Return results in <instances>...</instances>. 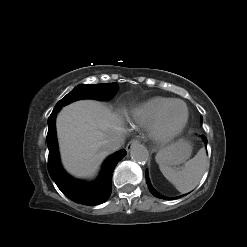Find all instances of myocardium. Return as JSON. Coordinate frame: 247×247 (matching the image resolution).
Masks as SVG:
<instances>
[{
  "mask_svg": "<svg viewBox=\"0 0 247 247\" xmlns=\"http://www.w3.org/2000/svg\"><path fill=\"white\" fill-rule=\"evenodd\" d=\"M176 103H180L184 106L185 117H184L183 121L181 122V124L178 125L177 127L167 128L164 125V116H165L166 112L168 111V109ZM188 121H189V109H188L187 104L180 99H173L169 103H167L159 111V113L157 114L153 123L151 124V126H150L151 136L156 142H159V143L168 142V141L176 138L177 136H179L183 132V130L185 129V127L188 124Z\"/></svg>",
  "mask_w": 247,
  "mask_h": 247,
  "instance_id": "obj_1",
  "label": "myocardium"
}]
</instances>
